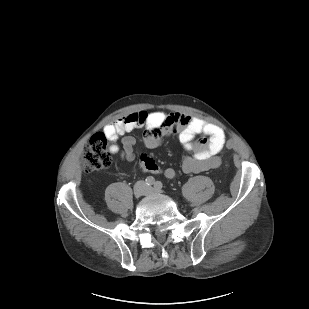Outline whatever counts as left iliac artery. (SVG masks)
Segmentation results:
<instances>
[{
	"instance_id": "1",
	"label": "left iliac artery",
	"mask_w": 309,
	"mask_h": 309,
	"mask_svg": "<svg viewBox=\"0 0 309 309\" xmlns=\"http://www.w3.org/2000/svg\"><path fill=\"white\" fill-rule=\"evenodd\" d=\"M154 187H155V189L156 190H161L162 189V187H163V184H162V182L161 181H156L155 183H154Z\"/></svg>"
}]
</instances>
